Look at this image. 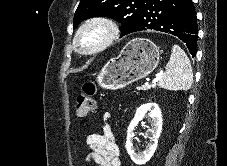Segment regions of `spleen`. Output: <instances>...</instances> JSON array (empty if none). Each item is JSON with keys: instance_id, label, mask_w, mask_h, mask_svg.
Listing matches in <instances>:
<instances>
[{"instance_id": "obj_1", "label": "spleen", "mask_w": 227, "mask_h": 166, "mask_svg": "<svg viewBox=\"0 0 227 166\" xmlns=\"http://www.w3.org/2000/svg\"><path fill=\"white\" fill-rule=\"evenodd\" d=\"M192 83L193 72L190 60L178 45H174L166 71L159 79V86L167 90L187 91Z\"/></svg>"}]
</instances>
